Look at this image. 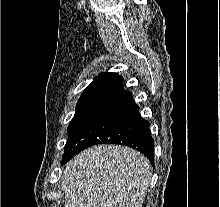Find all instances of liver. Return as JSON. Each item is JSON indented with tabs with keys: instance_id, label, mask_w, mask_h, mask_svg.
Here are the masks:
<instances>
[{
	"instance_id": "obj_1",
	"label": "liver",
	"mask_w": 220,
	"mask_h": 207,
	"mask_svg": "<svg viewBox=\"0 0 220 207\" xmlns=\"http://www.w3.org/2000/svg\"><path fill=\"white\" fill-rule=\"evenodd\" d=\"M149 160L121 145H97L75 156L61 177L64 207H142Z\"/></svg>"
}]
</instances>
